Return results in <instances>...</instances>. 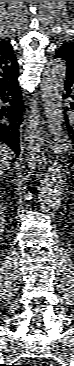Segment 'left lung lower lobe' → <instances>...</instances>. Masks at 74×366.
I'll use <instances>...</instances> for the list:
<instances>
[{"instance_id":"left-lung-lower-lobe-1","label":"left lung lower lobe","mask_w":74,"mask_h":366,"mask_svg":"<svg viewBox=\"0 0 74 366\" xmlns=\"http://www.w3.org/2000/svg\"><path fill=\"white\" fill-rule=\"evenodd\" d=\"M64 85L65 94L63 95V98L70 97L72 99V102L70 103V109L74 111V71H70L68 69L66 70V81ZM65 121L69 133L72 134V139L74 141V116L69 117L65 115Z\"/></svg>"}]
</instances>
